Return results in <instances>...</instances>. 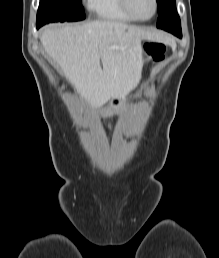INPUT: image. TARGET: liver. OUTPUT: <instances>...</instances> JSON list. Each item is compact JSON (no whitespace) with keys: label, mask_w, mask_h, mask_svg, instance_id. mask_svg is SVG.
Wrapping results in <instances>:
<instances>
[{"label":"liver","mask_w":219,"mask_h":258,"mask_svg":"<svg viewBox=\"0 0 219 258\" xmlns=\"http://www.w3.org/2000/svg\"><path fill=\"white\" fill-rule=\"evenodd\" d=\"M144 39L171 43L163 34L114 21L47 27L40 37L45 51L92 107L124 98L135 86L141 75Z\"/></svg>","instance_id":"6515ba94"}]
</instances>
